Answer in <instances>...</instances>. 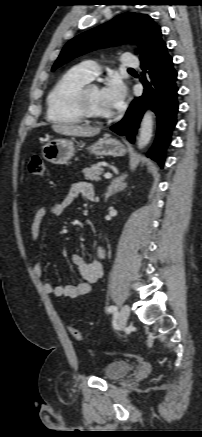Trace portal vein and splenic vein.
Returning <instances> with one entry per match:
<instances>
[{
  "mask_svg": "<svg viewBox=\"0 0 202 437\" xmlns=\"http://www.w3.org/2000/svg\"><path fill=\"white\" fill-rule=\"evenodd\" d=\"M104 177H105L106 179H110V178L112 177V174H111V173H106V174L104 175Z\"/></svg>",
  "mask_w": 202,
  "mask_h": 437,
  "instance_id": "obj_1",
  "label": "portal vein and splenic vein"
}]
</instances>
